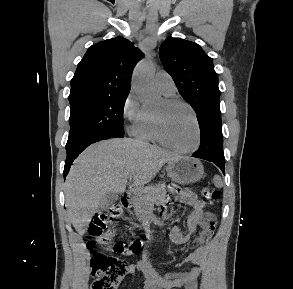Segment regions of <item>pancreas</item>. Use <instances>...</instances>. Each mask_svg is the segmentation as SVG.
Returning a JSON list of instances; mask_svg holds the SVG:
<instances>
[{
    "mask_svg": "<svg viewBox=\"0 0 293 289\" xmlns=\"http://www.w3.org/2000/svg\"><path fill=\"white\" fill-rule=\"evenodd\" d=\"M165 196V184H158L137 190L132 197V203L138 220L144 221L146 219L147 210H149L156 201H162Z\"/></svg>",
    "mask_w": 293,
    "mask_h": 289,
    "instance_id": "1",
    "label": "pancreas"
}]
</instances>
